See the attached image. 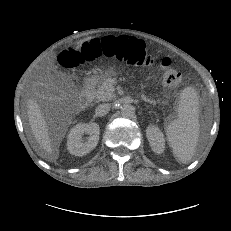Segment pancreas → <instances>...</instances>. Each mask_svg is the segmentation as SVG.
Masks as SVG:
<instances>
[{"mask_svg":"<svg viewBox=\"0 0 231 231\" xmlns=\"http://www.w3.org/2000/svg\"><path fill=\"white\" fill-rule=\"evenodd\" d=\"M117 82L116 78L107 77L101 84L98 85L97 89L93 88L89 91L91 98L95 99L96 102L110 101L116 96L114 92L111 91V87ZM140 97L142 100L155 105L157 102L153 99H149L145 94L141 93Z\"/></svg>","mask_w":231,"mask_h":231,"instance_id":"pancreas-1","label":"pancreas"}]
</instances>
